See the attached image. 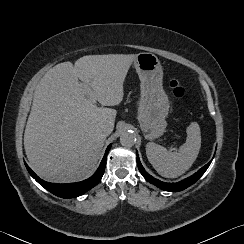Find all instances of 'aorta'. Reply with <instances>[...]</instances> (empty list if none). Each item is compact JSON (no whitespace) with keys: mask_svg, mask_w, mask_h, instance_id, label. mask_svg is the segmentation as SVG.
I'll return each instance as SVG.
<instances>
[{"mask_svg":"<svg viewBox=\"0 0 244 244\" xmlns=\"http://www.w3.org/2000/svg\"><path fill=\"white\" fill-rule=\"evenodd\" d=\"M136 143V134L132 130H124L120 135V144L124 147H132Z\"/></svg>","mask_w":244,"mask_h":244,"instance_id":"762f6f07","label":"aorta"}]
</instances>
